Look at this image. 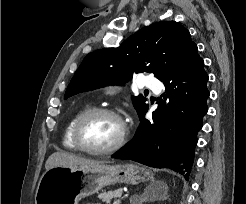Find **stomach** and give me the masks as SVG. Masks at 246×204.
Listing matches in <instances>:
<instances>
[{"mask_svg":"<svg viewBox=\"0 0 246 204\" xmlns=\"http://www.w3.org/2000/svg\"><path fill=\"white\" fill-rule=\"evenodd\" d=\"M153 179L152 172L136 164H95L53 167L42 175L35 204H78L84 197L115 183L136 185Z\"/></svg>","mask_w":246,"mask_h":204,"instance_id":"1","label":"stomach"}]
</instances>
